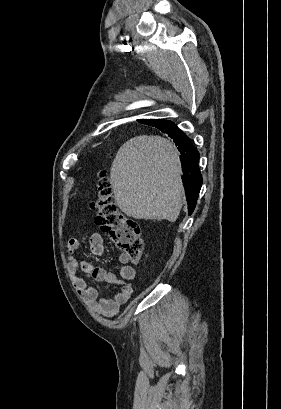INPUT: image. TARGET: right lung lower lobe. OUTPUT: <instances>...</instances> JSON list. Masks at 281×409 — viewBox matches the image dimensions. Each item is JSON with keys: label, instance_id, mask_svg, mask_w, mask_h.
<instances>
[{"label": "right lung lower lobe", "instance_id": "right-lung-lower-lobe-1", "mask_svg": "<svg viewBox=\"0 0 281 409\" xmlns=\"http://www.w3.org/2000/svg\"><path fill=\"white\" fill-rule=\"evenodd\" d=\"M145 123L147 120H139ZM178 146L182 155V171L185 179V193L188 202V214L191 215L199 196L202 185V175L198 168L199 152L192 145L190 139L174 124L167 126L164 130Z\"/></svg>", "mask_w": 281, "mask_h": 409}]
</instances>
